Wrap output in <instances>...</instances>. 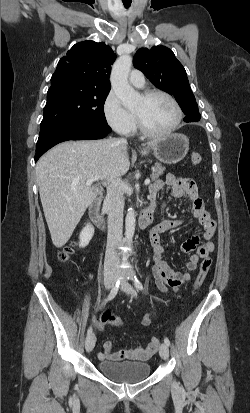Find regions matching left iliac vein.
<instances>
[{
	"label": "left iliac vein",
	"mask_w": 250,
	"mask_h": 413,
	"mask_svg": "<svg viewBox=\"0 0 250 413\" xmlns=\"http://www.w3.org/2000/svg\"><path fill=\"white\" fill-rule=\"evenodd\" d=\"M121 290L124 291L126 294H131L133 296H136L135 289L128 283V281L126 279L121 280ZM159 354L164 360L168 359V357H169V348L165 343H163L160 346Z\"/></svg>",
	"instance_id": "left-iliac-vein-1"
}]
</instances>
